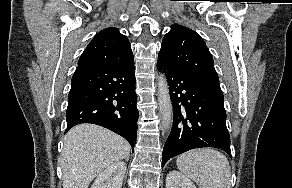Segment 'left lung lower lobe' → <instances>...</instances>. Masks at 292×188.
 I'll return each instance as SVG.
<instances>
[{"label": "left lung lower lobe", "instance_id": "left-lung-lower-lobe-1", "mask_svg": "<svg viewBox=\"0 0 292 188\" xmlns=\"http://www.w3.org/2000/svg\"><path fill=\"white\" fill-rule=\"evenodd\" d=\"M165 69L173 105V126L162 153V166L170 158L193 148L216 147L231 155L224 96L220 85L169 67Z\"/></svg>", "mask_w": 292, "mask_h": 188}]
</instances>
